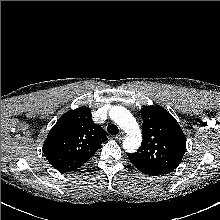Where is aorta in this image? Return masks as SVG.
Segmentation results:
<instances>
[{
    "instance_id": "aorta-1",
    "label": "aorta",
    "mask_w": 220,
    "mask_h": 220,
    "mask_svg": "<svg viewBox=\"0 0 220 220\" xmlns=\"http://www.w3.org/2000/svg\"><path fill=\"white\" fill-rule=\"evenodd\" d=\"M112 119L125 131L127 137L123 141V148L129 153L137 151L141 145L142 135L134 116L124 107L112 108Z\"/></svg>"
}]
</instances>
